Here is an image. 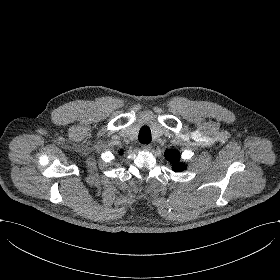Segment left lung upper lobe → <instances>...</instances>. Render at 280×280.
<instances>
[{
	"mask_svg": "<svg viewBox=\"0 0 280 280\" xmlns=\"http://www.w3.org/2000/svg\"><path fill=\"white\" fill-rule=\"evenodd\" d=\"M165 157L173 164L175 171H182L186 168L184 164L178 163L180 159V153L177 150H167Z\"/></svg>",
	"mask_w": 280,
	"mask_h": 280,
	"instance_id": "obj_1",
	"label": "left lung upper lobe"
}]
</instances>
